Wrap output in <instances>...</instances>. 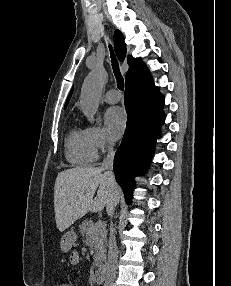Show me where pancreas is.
I'll use <instances>...</instances> for the list:
<instances>
[{
    "instance_id": "obj_1",
    "label": "pancreas",
    "mask_w": 231,
    "mask_h": 286,
    "mask_svg": "<svg viewBox=\"0 0 231 286\" xmlns=\"http://www.w3.org/2000/svg\"><path fill=\"white\" fill-rule=\"evenodd\" d=\"M80 233L84 237V243L92 241L94 243V266H99L102 260L105 259L106 253V236L107 229L103 227H96V225L89 220H85L80 225Z\"/></svg>"
}]
</instances>
